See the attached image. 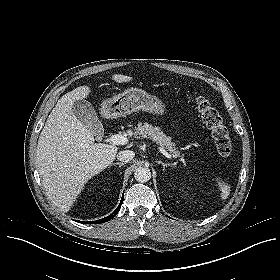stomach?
<instances>
[{
	"label": "stomach",
	"mask_w": 280,
	"mask_h": 280,
	"mask_svg": "<svg viewBox=\"0 0 280 280\" xmlns=\"http://www.w3.org/2000/svg\"><path fill=\"white\" fill-rule=\"evenodd\" d=\"M139 110L163 115L165 104L156 96L139 88L127 89L122 94L106 99L102 103L103 113L112 118L124 117Z\"/></svg>",
	"instance_id": "stomach-1"
}]
</instances>
